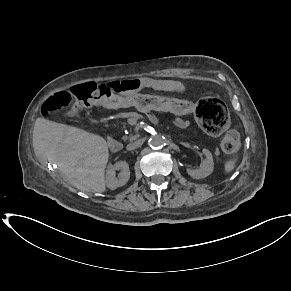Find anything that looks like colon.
I'll return each instance as SVG.
<instances>
[{"instance_id": "5ec220e1", "label": "colon", "mask_w": 291, "mask_h": 291, "mask_svg": "<svg viewBox=\"0 0 291 291\" xmlns=\"http://www.w3.org/2000/svg\"><path fill=\"white\" fill-rule=\"evenodd\" d=\"M129 90L130 86L124 81L88 82L53 94L43 103L41 112L45 116L70 108L69 114L76 116L81 110L97 105H107L111 109L134 105L141 112H171L174 118H188L194 113L199 125L209 134H219L228 126V111L218 98L189 101L188 96L172 97L171 93H143L132 97ZM239 141V133L231 130L222 138L221 147L225 152L233 153L237 151Z\"/></svg>"}]
</instances>
